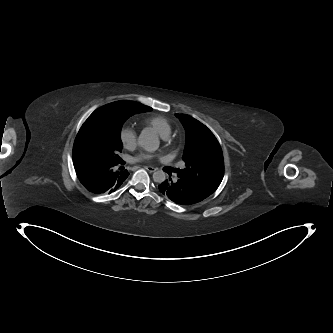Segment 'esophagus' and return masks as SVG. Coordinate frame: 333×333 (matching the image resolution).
Wrapping results in <instances>:
<instances>
[{"label":"esophagus","instance_id":"34e87169","mask_svg":"<svg viewBox=\"0 0 333 333\" xmlns=\"http://www.w3.org/2000/svg\"><path fill=\"white\" fill-rule=\"evenodd\" d=\"M145 169L148 170L150 173L155 172L157 170L156 168H154L152 166H146Z\"/></svg>","mask_w":333,"mask_h":333}]
</instances>
